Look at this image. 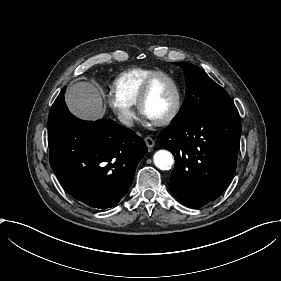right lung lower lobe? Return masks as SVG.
Returning a JSON list of instances; mask_svg holds the SVG:
<instances>
[{
	"instance_id": "98d812e1",
	"label": "right lung lower lobe",
	"mask_w": 281,
	"mask_h": 281,
	"mask_svg": "<svg viewBox=\"0 0 281 281\" xmlns=\"http://www.w3.org/2000/svg\"><path fill=\"white\" fill-rule=\"evenodd\" d=\"M64 88L48 119L50 165L75 199L98 209L115 206L127 193L147 151L132 130L108 119L83 121L64 101Z\"/></svg>"
}]
</instances>
